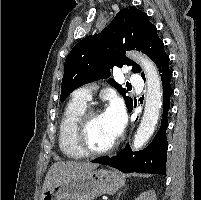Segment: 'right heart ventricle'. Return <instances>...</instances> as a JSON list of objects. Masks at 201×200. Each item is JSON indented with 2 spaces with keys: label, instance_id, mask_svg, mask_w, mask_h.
I'll use <instances>...</instances> for the list:
<instances>
[{
  "label": "right heart ventricle",
  "instance_id": "1",
  "mask_svg": "<svg viewBox=\"0 0 201 200\" xmlns=\"http://www.w3.org/2000/svg\"><path fill=\"white\" fill-rule=\"evenodd\" d=\"M87 108V101L73 97L65 107L58 134V143L64 156L71 159L85 157L76 146L74 141V128L78 118Z\"/></svg>",
  "mask_w": 201,
  "mask_h": 200
}]
</instances>
